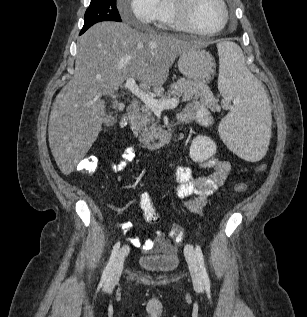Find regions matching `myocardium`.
<instances>
[{"label":"myocardium","instance_id":"myocardium-1","mask_svg":"<svg viewBox=\"0 0 307 317\" xmlns=\"http://www.w3.org/2000/svg\"><path fill=\"white\" fill-rule=\"evenodd\" d=\"M222 8L223 18L222 22L214 30L205 31L197 28L193 23L191 17V10L195 0H171L174 15L178 24L186 31L202 35V36H212L221 32L227 25L229 20V10L227 8L225 0H217Z\"/></svg>","mask_w":307,"mask_h":317}]
</instances>
